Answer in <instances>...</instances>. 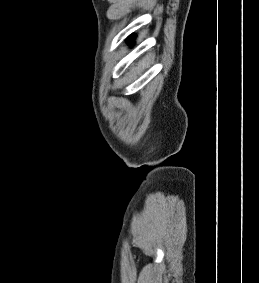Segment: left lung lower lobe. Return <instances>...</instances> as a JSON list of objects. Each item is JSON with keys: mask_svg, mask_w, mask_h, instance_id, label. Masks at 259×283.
<instances>
[{"mask_svg": "<svg viewBox=\"0 0 259 283\" xmlns=\"http://www.w3.org/2000/svg\"><path fill=\"white\" fill-rule=\"evenodd\" d=\"M132 41H133V37H131V38L129 39V42H130V43H132Z\"/></svg>", "mask_w": 259, "mask_h": 283, "instance_id": "obj_1", "label": "left lung lower lobe"}]
</instances>
